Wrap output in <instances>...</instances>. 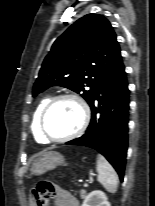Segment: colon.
<instances>
[{
  "label": "colon",
  "mask_w": 155,
  "mask_h": 206,
  "mask_svg": "<svg viewBox=\"0 0 155 206\" xmlns=\"http://www.w3.org/2000/svg\"><path fill=\"white\" fill-rule=\"evenodd\" d=\"M53 189L54 185L48 180L40 181L36 187L32 189V196L36 200L38 206H46Z\"/></svg>",
  "instance_id": "5ec220e1"
}]
</instances>
